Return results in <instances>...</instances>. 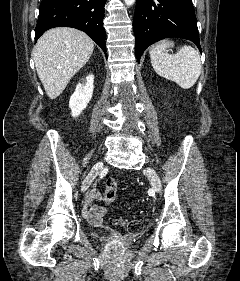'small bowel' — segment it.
<instances>
[{
    "label": "small bowel",
    "mask_w": 240,
    "mask_h": 281,
    "mask_svg": "<svg viewBox=\"0 0 240 281\" xmlns=\"http://www.w3.org/2000/svg\"><path fill=\"white\" fill-rule=\"evenodd\" d=\"M102 194L96 190H91L83 201L82 215L84 219L93 226H100L102 219L106 214L105 207L101 205H93L95 199H100Z\"/></svg>",
    "instance_id": "obj_1"
}]
</instances>
